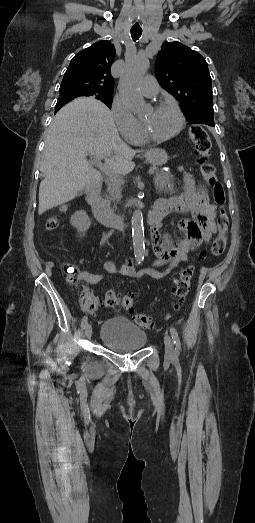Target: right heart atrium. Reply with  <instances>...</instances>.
<instances>
[{"instance_id": "1", "label": "right heart atrium", "mask_w": 255, "mask_h": 523, "mask_svg": "<svg viewBox=\"0 0 255 523\" xmlns=\"http://www.w3.org/2000/svg\"><path fill=\"white\" fill-rule=\"evenodd\" d=\"M110 115L123 139L128 140L139 130V121L132 114L124 100L115 96L111 106Z\"/></svg>"}]
</instances>
